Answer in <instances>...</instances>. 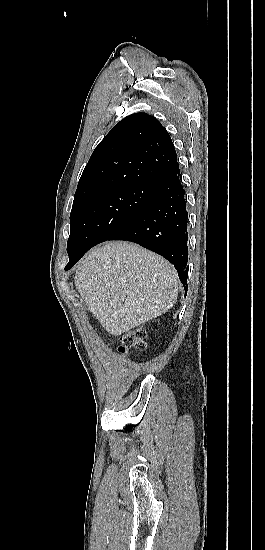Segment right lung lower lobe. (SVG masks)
Wrapping results in <instances>:
<instances>
[{"label":"right lung lower lobe","mask_w":265,"mask_h":550,"mask_svg":"<svg viewBox=\"0 0 265 550\" xmlns=\"http://www.w3.org/2000/svg\"><path fill=\"white\" fill-rule=\"evenodd\" d=\"M177 164L158 184L144 211L109 240L135 242L170 261L187 290V218L184 189ZM71 267H66L65 270Z\"/></svg>","instance_id":"1"}]
</instances>
